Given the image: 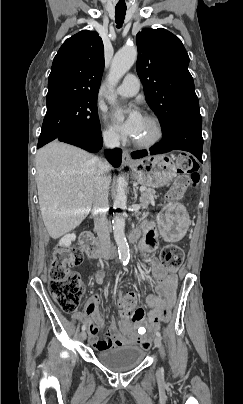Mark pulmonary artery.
I'll return each instance as SVG.
<instances>
[{
    "label": "pulmonary artery",
    "mask_w": 243,
    "mask_h": 404,
    "mask_svg": "<svg viewBox=\"0 0 243 404\" xmlns=\"http://www.w3.org/2000/svg\"><path fill=\"white\" fill-rule=\"evenodd\" d=\"M125 52H119L118 57L122 56ZM140 79L137 75L133 73L127 74L121 85L117 88V93L123 97H131L136 95L140 90Z\"/></svg>",
    "instance_id": "1"
}]
</instances>
